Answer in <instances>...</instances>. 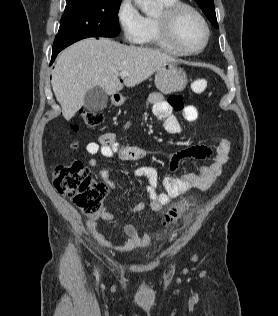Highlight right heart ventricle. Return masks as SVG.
Returning a JSON list of instances; mask_svg holds the SVG:
<instances>
[{
    "instance_id": "obj_1",
    "label": "right heart ventricle",
    "mask_w": 278,
    "mask_h": 316,
    "mask_svg": "<svg viewBox=\"0 0 278 316\" xmlns=\"http://www.w3.org/2000/svg\"><path fill=\"white\" fill-rule=\"evenodd\" d=\"M158 1L164 9L178 2V0ZM138 43L145 46L157 47L174 55L181 54L163 37L158 23V16L144 17L143 33Z\"/></svg>"
}]
</instances>
